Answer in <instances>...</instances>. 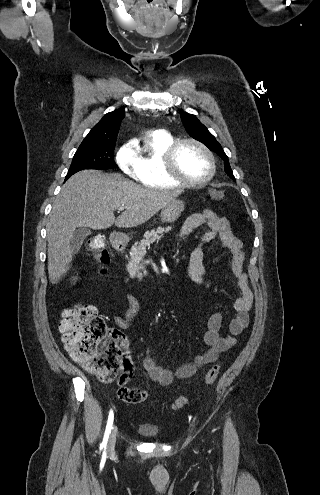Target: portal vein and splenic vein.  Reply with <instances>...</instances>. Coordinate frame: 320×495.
Returning <instances> with one entry per match:
<instances>
[{"label": "portal vein and splenic vein", "instance_id": "portal-vein-and-splenic-vein-1", "mask_svg": "<svg viewBox=\"0 0 320 495\" xmlns=\"http://www.w3.org/2000/svg\"><path fill=\"white\" fill-rule=\"evenodd\" d=\"M124 209H125V207L124 206H121V207L118 208V211H122Z\"/></svg>", "mask_w": 320, "mask_h": 495}]
</instances>
